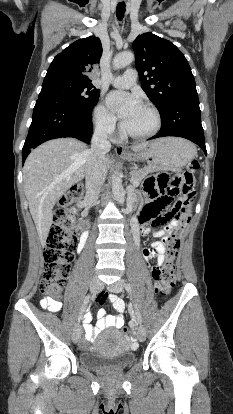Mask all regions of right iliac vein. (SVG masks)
I'll return each mask as SVG.
<instances>
[{"label":"right iliac vein","instance_id":"right-iliac-vein-1","mask_svg":"<svg viewBox=\"0 0 233 414\" xmlns=\"http://www.w3.org/2000/svg\"><path fill=\"white\" fill-rule=\"evenodd\" d=\"M102 283L97 276H94L90 282V290L92 293H98L101 290ZM81 336V327L79 324L75 325L72 332V341L77 343Z\"/></svg>","mask_w":233,"mask_h":414}]
</instances>
